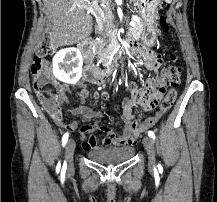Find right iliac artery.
<instances>
[{
  "instance_id": "right-iliac-artery-1",
  "label": "right iliac artery",
  "mask_w": 217,
  "mask_h": 202,
  "mask_svg": "<svg viewBox=\"0 0 217 202\" xmlns=\"http://www.w3.org/2000/svg\"><path fill=\"white\" fill-rule=\"evenodd\" d=\"M68 137H69V134H68V133H65V134L63 135V137H62V145H63V146H65V144L67 143ZM58 163H60V161H59ZM64 163H66V162H64Z\"/></svg>"
}]
</instances>
